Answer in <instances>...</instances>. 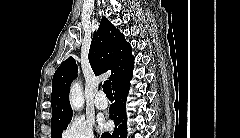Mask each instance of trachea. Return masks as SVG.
<instances>
[{
  "mask_svg": "<svg viewBox=\"0 0 240 138\" xmlns=\"http://www.w3.org/2000/svg\"><path fill=\"white\" fill-rule=\"evenodd\" d=\"M103 91L108 98H113L112 88L110 81H105L103 84Z\"/></svg>",
  "mask_w": 240,
  "mask_h": 138,
  "instance_id": "3493384b",
  "label": "trachea"
}]
</instances>
